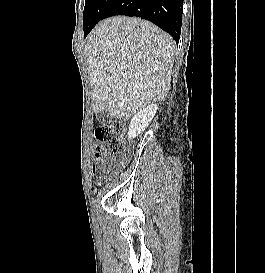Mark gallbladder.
<instances>
[{
  "label": "gallbladder",
  "instance_id": "gallbladder-1",
  "mask_svg": "<svg viewBox=\"0 0 265 273\" xmlns=\"http://www.w3.org/2000/svg\"><path fill=\"white\" fill-rule=\"evenodd\" d=\"M96 117L99 121L104 122L107 118L110 117V115L108 114V112H96Z\"/></svg>",
  "mask_w": 265,
  "mask_h": 273
}]
</instances>
